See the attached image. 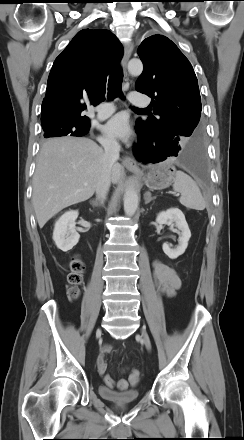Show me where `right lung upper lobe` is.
I'll return each mask as SVG.
<instances>
[{"label": "right lung upper lobe", "instance_id": "1", "mask_svg": "<svg viewBox=\"0 0 244 440\" xmlns=\"http://www.w3.org/2000/svg\"><path fill=\"white\" fill-rule=\"evenodd\" d=\"M122 55V44L109 30L79 31L53 63L42 102L41 124H89L82 112L104 100L106 77Z\"/></svg>", "mask_w": 244, "mask_h": 440}]
</instances>
